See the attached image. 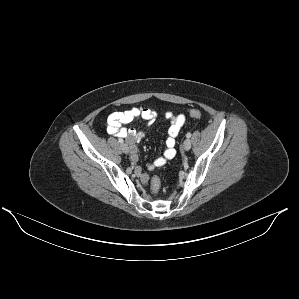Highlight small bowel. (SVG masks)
<instances>
[{"label":"small bowel","mask_w":299,"mask_h":299,"mask_svg":"<svg viewBox=\"0 0 299 299\" xmlns=\"http://www.w3.org/2000/svg\"><path fill=\"white\" fill-rule=\"evenodd\" d=\"M165 117L169 120L168 137L165 141L166 148L162 156L157 157L148 165L150 170L163 166L167 160L175 158L177 153L175 149L176 137L185 123V117L183 115L174 116L170 112H166ZM137 118H143L147 120L148 124H152L156 120L157 114L149 108H132L126 111L113 112L105 121V127L109 134L124 138L127 141L133 162L138 160L137 143L144 137V132L128 129L124 125ZM135 172L144 184L148 183V174L141 167H137Z\"/></svg>","instance_id":"obj_1"}]
</instances>
